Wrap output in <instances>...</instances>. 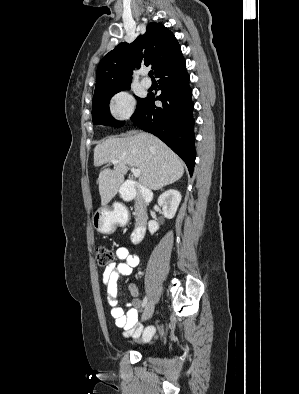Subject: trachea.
Returning a JSON list of instances; mask_svg holds the SVG:
<instances>
[{
    "instance_id": "trachea-1",
    "label": "trachea",
    "mask_w": 299,
    "mask_h": 394,
    "mask_svg": "<svg viewBox=\"0 0 299 394\" xmlns=\"http://www.w3.org/2000/svg\"><path fill=\"white\" fill-rule=\"evenodd\" d=\"M153 74H154L153 71H150V72H149V76H150L152 79H154Z\"/></svg>"
}]
</instances>
